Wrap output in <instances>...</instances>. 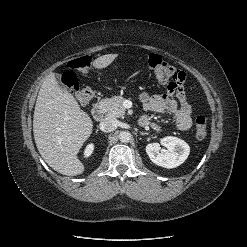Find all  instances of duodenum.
Here are the masks:
<instances>
[{
  "instance_id": "duodenum-1",
  "label": "duodenum",
  "mask_w": 247,
  "mask_h": 247,
  "mask_svg": "<svg viewBox=\"0 0 247 247\" xmlns=\"http://www.w3.org/2000/svg\"><path fill=\"white\" fill-rule=\"evenodd\" d=\"M103 116H104V107L101 103H98L94 106V108L92 110V117L94 120L100 121V120H102ZM139 125L140 126H146L147 122L144 119L140 118L139 119Z\"/></svg>"
}]
</instances>
